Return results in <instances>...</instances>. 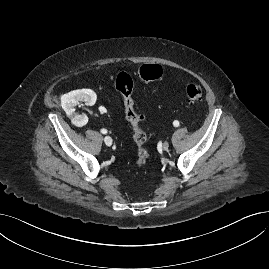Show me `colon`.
<instances>
[{"label":"colon","instance_id":"5ec220e1","mask_svg":"<svg viewBox=\"0 0 269 269\" xmlns=\"http://www.w3.org/2000/svg\"><path fill=\"white\" fill-rule=\"evenodd\" d=\"M139 75L143 80H158L162 77L163 71L160 66L145 65L140 69ZM114 84L122 97L125 116L132 128L133 140L138 148L137 156L134 161L135 165L137 167H144L149 158V151L145 147L146 133L141 127L142 117L136 111L132 97L133 79L126 72H120L116 76ZM186 95L190 102H198L202 99V88L197 84H189L186 87Z\"/></svg>","mask_w":269,"mask_h":269}]
</instances>
